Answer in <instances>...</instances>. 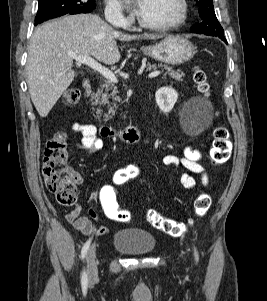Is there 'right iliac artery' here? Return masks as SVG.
I'll list each match as a JSON object with an SVG mask.
<instances>
[{"label":"right iliac artery","mask_w":267,"mask_h":301,"mask_svg":"<svg viewBox=\"0 0 267 301\" xmlns=\"http://www.w3.org/2000/svg\"><path fill=\"white\" fill-rule=\"evenodd\" d=\"M90 243H91V238L88 239L85 244L83 245L82 247V250H81V258L84 259L85 256H86V253L89 249V246H90ZM87 282H88V277H87V273L85 272V270L82 272V276H81V283L83 285H87Z\"/></svg>","instance_id":"right-iliac-artery-1"}]
</instances>
